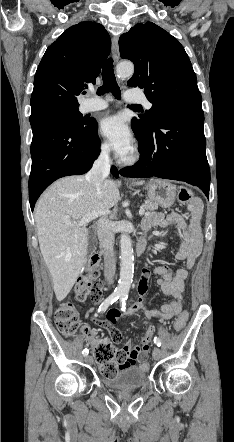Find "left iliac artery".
<instances>
[{"label": "left iliac artery", "instance_id": "44dca946", "mask_svg": "<svg viewBox=\"0 0 234 442\" xmlns=\"http://www.w3.org/2000/svg\"><path fill=\"white\" fill-rule=\"evenodd\" d=\"M127 297H128V295L125 294V293L121 294V296H120V303H121V308H122V310H125V309H126V300H127ZM154 343H155L158 347L161 346V341H160V339H159L158 337H155V338H154Z\"/></svg>", "mask_w": 234, "mask_h": 442}]
</instances>
